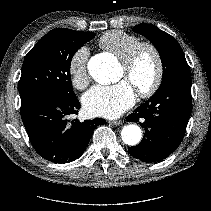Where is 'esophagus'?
I'll use <instances>...</instances> for the list:
<instances>
[{
    "instance_id": "esophagus-1",
    "label": "esophagus",
    "mask_w": 211,
    "mask_h": 211,
    "mask_svg": "<svg viewBox=\"0 0 211 211\" xmlns=\"http://www.w3.org/2000/svg\"><path fill=\"white\" fill-rule=\"evenodd\" d=\"M110 123L113 125H121L122 121L121 120H112V121H110Z\"/></svg>"
}]
</instances>
